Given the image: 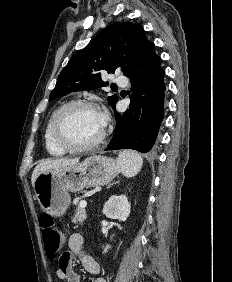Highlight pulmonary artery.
I'll return each mask as SVG.
<instances>
[{
	"label": "pulmonary artery",
	"instance_id": "1",
	"mask_svg": "<svg viewBox=\"0 0 232 282\" xmlns=\"http://www.w3.org/2000/svg\"><path fill=\"white\" fill-rule=\"evenodd\" d=\"M114 82L120 86L127 85V79L124 76L117 75L114 79Z\"/></svg>",
	"mask_w": 232,
	"mask_h": 282
}]
</instances>
